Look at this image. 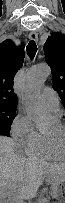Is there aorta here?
<instances>
[{
	"label": "aorta",
	"mask_w": 65,
	"mask_h": 203,
	"mask_svg": "<svg viewBox=\"0 0 65 203\" xmlns=\"http://www.w3.org/2000/svg\"><path fill=\"white\" fill-rule=\"evenodd\" d=\"M50 68L47 64L36 66L29 77L30 91L27 94L29 113L39 129H45L52 120L51 114L47 111L37 89L50 75ZM36 203H47V200L40 198Z\"/></svg>",
	"instance_id": "aorta-1"
}]
</instances>
